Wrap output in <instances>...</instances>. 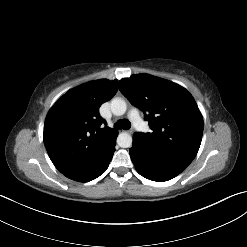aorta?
Masks as SVG:
<instances>
[{"label": "aorta", "mask_w": 247, "mask_h": 247, "mask_svg": "<svg viewBox=\"0 0 247 247\" xmlns=\"http://www.w3.org/2000/svg\"><path fill=\"white\" fill-rule=\"evenodd\" d=\"M111 111L115 116L125 114L127 105L122 98H114L110 104ZM132 136L127 132H121L117 137V144L121 148H129L132 146Z\"/></svg>", "instance_id": "1"}]
</instances>
